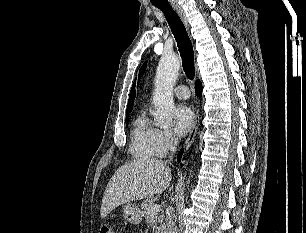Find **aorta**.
I'll return each mask as SVG.
<instances>
[{
    "label": "aorta",
    "instance_id": "762f6f07",
    "mask_svg": "<svg viewBox=\"0 0 306 233\" xmlns=\"http://www.w3.org/2000/svg\"><path fill=\"white\" fill-rule=\"evenodd\" d=\"M180 70L177 55H165L161 58L156 71L153 96L154 118L160 127H168L172 120L174 100L172 91ZM190 179H188V183Z\"/></svg>",
    "mask_w": 306,
    "mask_h": 233
}]
</instances>
